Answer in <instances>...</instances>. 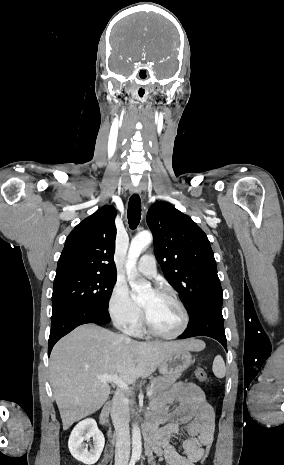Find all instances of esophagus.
I'll use <instances>...</instances> for the list:
<instances>
[{"label":"esophagus","instance_id":"1","mask_svg":"<svg viewBox=\"0 0 284 465\" xmlns=\"http://www.w3.org/2000/svg\"><path fill=\"white\" fill-rule=\"evenodd\" d=\"M130 193H131V194L140 195L141 189H140L139 187H134V186H132V187L130 188Z\"/></svg>","mask_w":284,"mask_h":465}]
</instances>
